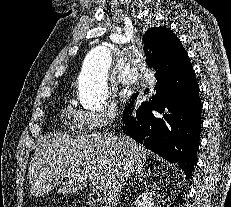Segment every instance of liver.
I'll return each mask as SVG.
<instances>
[{"instance_id": "6515ba94", "label": "liver", "mask_w": 231, "mask_h": 207, "mask_svg": "<svg viewBox=\"0 0 231 207\" xmlns=\"http://www.w3.org/2000/svg\"><path fill=\"white\" fill-rule=\"evenodd\" d=\"M95 132L74 138L60 134L39 140L28 169L30 192L36 197L53 191L63 178L58 193H75L84 189L87 180L97 181L108 207L119 201L122 184L151 154L129 136Z\"/></svg>"}]
</instances>
